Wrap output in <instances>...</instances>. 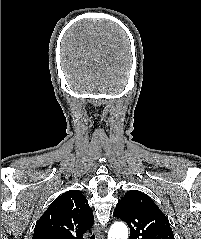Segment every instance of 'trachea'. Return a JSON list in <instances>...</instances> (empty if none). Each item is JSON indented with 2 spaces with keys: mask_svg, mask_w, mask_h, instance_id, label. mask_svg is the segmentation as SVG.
<instances>
[{
  "mask_svg": "<svg viewBox=\"0 0 201 239\" xmlns=\"http://www.w3.org/2000/svg\"><path fill=\"white\" fill-rule=\"evenodd\" d=\"M90 239H95V235L93 234Z\"/></svg>",
  "mask_w": 201,
  "mask_h": 239,
  "instance_id": "trachea-1",
  "label": "trachea"
}]
</instances>
